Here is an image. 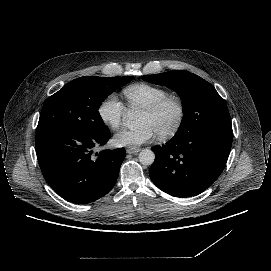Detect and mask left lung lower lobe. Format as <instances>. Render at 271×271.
Wrapping results in <instances>:
<instances>
[{"label": "left lung lower lobe", "mask_w": 271, "mask_h": 271, "mask_svg": "<svg viewBox=\"0 0 271 271\" xmlns=\"http://www.w3.org/2000/svg\"><path fill=\"white\" fill-rule=\"evenodd\" d=\"M232 145L231 125H205L175 134L151 149L155 161L149 175L162 191L192 197L210 187L222 173Z\"/></svg>", "instance_id": "0a47b994"}]
</instances>
